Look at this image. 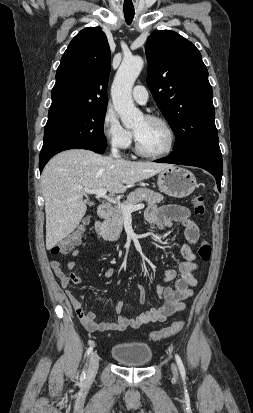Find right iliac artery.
<instances>
[{
    "instance_id": "82829eb1",
    "label": "right iliac artery",
    "mask_w": 253,
    "mask_h": 413,
    "mask_svg": "<svg viewBox=\"0 0 253 413\" xmlns=\"http://www.w3.org/2000/svg\"><path fill=\"white\" fill-rule=\"evenodd\" d=\"M92 351H93V346H90V347L88 348V350H87V357L90 356V354L92 353ZM85 375H86L85 370H83V372H82V374H81V377H80V380H81V381L85 380Z\"/></svg>"
}]
</instances>
